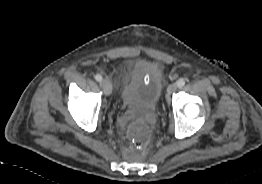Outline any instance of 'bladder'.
Instances as JSON below:
<instances>
[{
	"label": "bladder",
	"mask_w": 262,
	"mask_h": 184,
	"mask_svg": "<svg viewBox=\"0 0 262 184\" xmlns=\"http://www.w3.org/2000/svg\"><path fill=\"white\" fill-rule=\"evenodd\" d=\"M163 87V71L153 73L149 67L141 66L124 81L121 102L132 113L147 112L157 105Z\"/></svg>",
	"instance_id": "31cf9c89"
}]
</instances>
